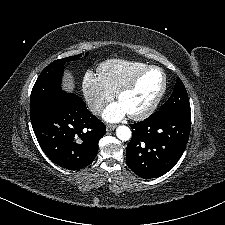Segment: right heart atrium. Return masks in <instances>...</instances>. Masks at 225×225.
<instances>
[{
    "mask_svg": "<svg viewBox=\"0 0 225 225\" xmlns=\"http://www.w3.org/2000/svg\"><path fill=\"white\" fill-rule=\"evenodd\" d=\"M82 89L93 112H99L113 98V93L105 86L101 78L92 72L84 75Z\"/></svg>",
    "mask_w": 225,
    "mask_h": 225,
    "instance_id": "obj_1",
    "label": "right heart atrium"
}]
</instances>
